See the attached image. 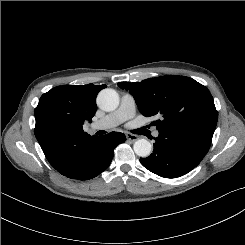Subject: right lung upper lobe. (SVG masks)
<instances>
[{
    "mask_svg": "<svg viewBox=\"0 0 245 245\" xmlns=\"http://www.w3.org/2000/svg\"><path fill=\"white\" fill-rule=\"evenodd\" d=\"M103 85H64L44 93L35 109V136L50 164L60 166L68 151L96 135L83 130L91 121L97 105L96 96Z\"/></svg>",
    "mask_w": 245,
    "mask_h": 245,
    "instance_id": "cb5924a9",
    "label": "right lung upper lobe"
}]
</instances>
